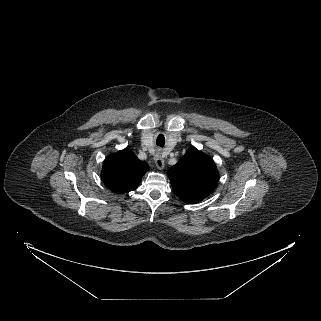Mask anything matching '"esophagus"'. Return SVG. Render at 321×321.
Segmentation results:
<instances>
[{
	"label": "esophagus",
	"instance_id": "esophagus-1",
	"mask_svg": "<svg viewBox=\"0 0 321 321\" xmlns=\"http://www.w3.org/2000/svg\"><path fill=\"white\" fill-rule=\"evenodd\" d=\"M154 162L159 170H162L165 166L164 159L161 156V152L158 151L154 156Z\"/></svg>",
	"mask_w": 321,
	"mask_h": 321
}]
</instances>
